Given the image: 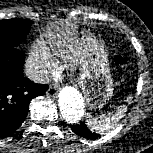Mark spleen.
I'll return each mask as SVG.
<instances>
[{
	"mask_svg": "<svg viewBox=\"0 0 153 153\" xmlns=\"http://www.w3.org/2000/svg\"><path fill=\"white\" fill-rule=\"evenodd\" d=\"M132 97L128 96L126 98V101L129 103L131 102ZM127 112V106L126 105H120L116 113H109L107 115H100L98 118H92L90 114H87L86 123L87 126L97 132V133H103L107 129L113 127L121 118L125 116Z\"/></svg>",
	"mask_w": 153,
	"mask_h": 153,
	"instance_id": "3e777b00",
	"label": "spleen"
}]
</instances>
